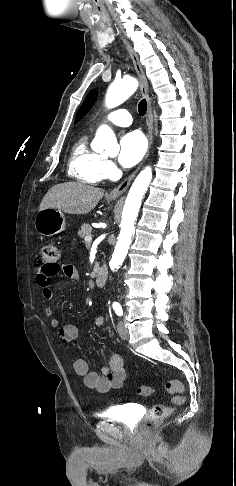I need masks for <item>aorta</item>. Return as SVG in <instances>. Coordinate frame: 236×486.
<instances>
[{"mask_svg": "<svg viewBox=\"0 0 236 486\" xmlns=\"http://www.w3.org/2000/svg\"><path fill=\"white\" fill-rule=\"evenodd\" d=\"M138 82L134 78H124L112 83L106 93L105 104L108 108H114L127 100L137 89ZM92 148L96 152H115L119 149L117 140L112 129L107 125L98 128ZM152 180V169H143L133 182L122 212L121 230L117 244L110 261V268L119 269L122 265L135 230L134 223L137 218L142 198Z\"/></svg>", "mask_w": 236, "mask_h": 486, "instance_id": "762f6f07", "label": "aorta"}]
</instances>
